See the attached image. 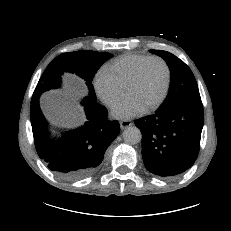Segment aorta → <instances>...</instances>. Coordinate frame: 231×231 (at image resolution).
<instances>
[{"label": "aorta", "mask_w": 231, "mask_h": 231, "mask_svg": "<svg viewBox=\"0 0 231 231\" xmlns=\"http://www.w3.org/2000/svg\"><path fill=\"white\" fill-rule=\"evenodd\" d=\"M123 139L127 144L135 145L142 139V134L136 126H129L123 132Z\"/></svg>", "instance_id": "aorta-1"}]
</instances>
